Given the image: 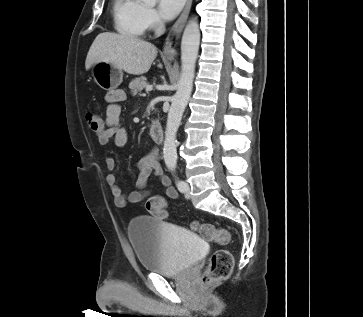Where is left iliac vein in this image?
Returning <instances> with one entry per match:
<instances>
[{
	"instance_id": "4c4485c4",
	"label": "left iliac vein",
	"mask_w": 363,
	"mask_h": 317,
	"mask_svg": "<svg viewBox=\"0 0 363 317\" xmlns=\"http://www.w3.org/2000/svg\"><path fill=\"white\" fill-rule=\"evenodd\" d=\"M185 190H184V192H185V196L187 197V198H189L190 197V186H189V184L188 183H185Z\"/></svg>"
}]
</instances>
